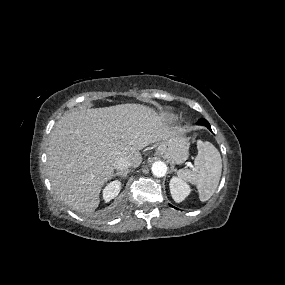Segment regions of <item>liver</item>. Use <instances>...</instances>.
<instances>
[{
	"label": "liver",
	"instance_id": "obj_1",
	"mask_svg": "<svg viewBox=\"0 0 285 285\" xmlns=\"http://www.w3.org/2000/svg\"><path fill=\"white\" fill-rule=\"evenodd\" d=\"M177 133L163 115L140 104L64 114L50 134L47 150L51 186L69 207L91 214L99 206L102 186L113 177L117 158L138 167L141 149Z\"/></svg>",
	"mask_w": 285,
	"mask_h": 285
}]
</instances>
